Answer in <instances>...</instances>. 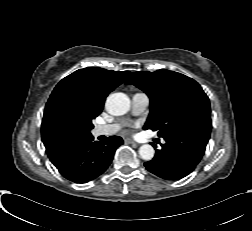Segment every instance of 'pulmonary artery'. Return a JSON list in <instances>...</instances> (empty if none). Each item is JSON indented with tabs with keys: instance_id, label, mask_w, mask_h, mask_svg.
Wrapping results in <instances>:
<instances>
[{
	"instance_id": "obj_1",
	"label": "pulmonary artery",
	"mask_w": 252,
	"mask_h": 231,
	"mask_svg": "<svg viewBox=\"0 0 252 231\" xmlns=\"http://www.w3.org/2000/svg\"><path fill=\"white\" fill-rule=\"evenodd\" d=\"M149 104L148 96L143 92H137L132 96L131 110L134 115L143 113ZM120 125L117 123L98 125L94 128L96 136H110L118 132Z\"/></svg>"
}]
</instances>
